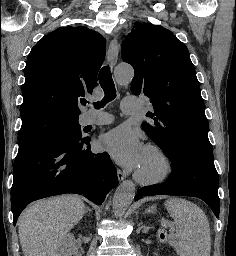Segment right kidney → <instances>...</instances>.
I'll return each instance as SVG.
<instances>
[{"label":"right kidney","mask_w":236,"mask_h":256,"mask_svg":"<svg viewBox=\"0 0 236 256\" xmlns=\"http://www.w3.org/2000/svg\"><path fill=\"white\" fill-rule=\"evenodd\" d=\"M74 240L75 238L72 236V234H67V238L63 244L62 256H75L77 248Z\"/></svg>","instance_id":"1"}]
</instances>
